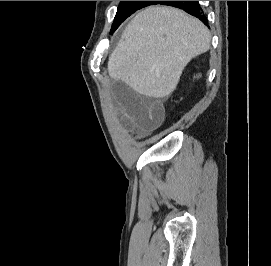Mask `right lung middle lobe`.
I'll list each match as a JSON object with an SVG mask.
<instances>
[{
    "label": "right lung middle lobe",
    "mask_w": 271,
    "mask_h": 266,
    "mask_svg": "<svg viewBox=\"0 0 271 266\" xmlns=\"http://www.w3.org/2000/svg\"><path fill=\"white\" fill-rule=\"evenodd\" d=\"M157 3L158 1H121L112 24L110 34H112L120 24L135 11Z\"/></svg>",
    "instance_id": "1"
}]
</instances>
